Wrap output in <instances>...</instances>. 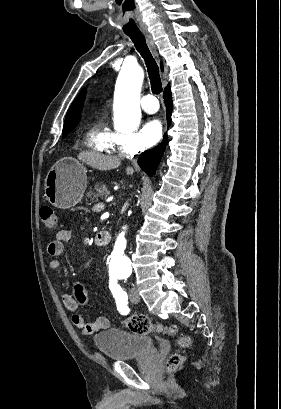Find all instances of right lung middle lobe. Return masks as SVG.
I'll use <instances>...</instances> for the list:
<instances>
[{"mask_svg": "<svg viewBox=\"0 0 281 409\" xmlns=\"http://www.w3.org/2000/svg\"><path fill=\"white\" fill-rule=\"evenodd\" d=\"M75 127H76V125L64 126V128H63V133H62L63 138H65V137L67 136V134H68L71 130H73Z\"/></svg>", "mask_w": 281, "mask_h": 409, "instance_id": "obj_1", "label": "right lung middle lobe"}]
</instances>
